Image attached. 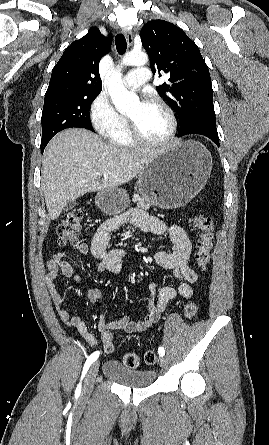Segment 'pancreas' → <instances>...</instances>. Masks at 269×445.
Wrapping results in <instances>:
<instances>
[{
	"label": "pancreas",
	"mask_w": 269,
	"mask_h": 445,
	"mask_svg": "<svg viewBox=\"0 0 269 445\" xmlns=\"http://www.w3.org/2000/svg\"><path fill=\"white\" fill-rule=\"evenodd\" d=\"M132 201L137 203V205L143 209L150 208V201L146 200L144 197H141L139 194H134Z\"/></svg>",
	"instance_id": "pancreas-1"
}]
</instances>
